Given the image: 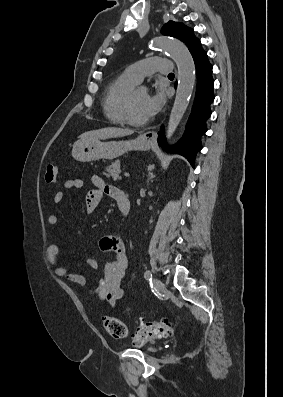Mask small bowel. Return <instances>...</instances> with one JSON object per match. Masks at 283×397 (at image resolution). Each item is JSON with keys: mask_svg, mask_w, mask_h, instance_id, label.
I'll list each match as a JSON object with an SVG mask.
<instances>
[{"mask_svg": "<svg viewBox=\"0 0 283 397\" xmlns=\"http://www.w3.org/2000/svg\"><path fill=\"white\" fill-rule=\"evenodd\" d=\"M92 189L87 193L85 199V206L87 214H93L98 208L103 195L112 198L118 205L127 198L124 191L116 186L108 185L104 180L98 176L91 177ZM84 186L82 179H69L65 181L64 187L66 189H80ZM64 200V193L58 191L55 193L53 201L54 204L59 205ZM48 223L56 226L59 223V218L55 214L48 216ZM99 247L103 252L112 253L114 258L106 262L102 270V278L89 290L90 294L97 295L99 299L108 304L110 307H115L117 302L126 296L125 289L121 286L122 279L125 275L128 258L126 249L121 238L113 235L105 236L100 240ZM60 254V247L57 244H50L46 249V259L52 266L54 273L64 280L76 284L80 287L86 285V279L83 275L75 272H70L65 266L58 264V256ZM85 262L91 268H98V262L93 258H86Z\"/></svg>", "mask_w": 283, "mask_h": 397, "instance_id": "c3829d8e", "label": "small bowel"}]
</instances>
